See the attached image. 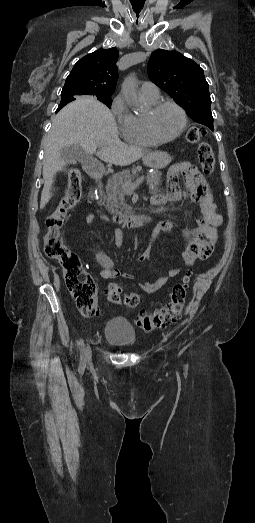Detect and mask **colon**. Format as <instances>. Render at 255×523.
<instances>
[{
	"instance_id": "5ec220e1",
	"label": "colon",
	"mask_w": 255,
	"mask_h": 523,
	"mask_svg": "<svg viewBox=\"0 0 255 523\" xmlns=\"http://www.w3.org/2000/svg\"><path fill=\"white\" fill-rule=\"evenodd\" d=\"M202 128L192 126L186 133V141L198 144V159L205 175L214 171L215 157L210 144L203 141ZM68 188L64 198L57 208L47 217L45 235V253L56 260L62 267L65 284L76 301L79 311L83 315H95L98 311L97 286L94 278L83 267L79 256L72 252L60 238V230L67 219L69 212L78 204L82 196L80 172L71 168L67 170ZM190 272L182 276L181 282L175 284L169 295L168 301L153 312L140 313L136 322L145 330L151 331L163 328L178 320L184 307ZM107 300L110 303L121 302V291L116 285H111L107 290ZM140 302L136 293H127L123 297V304L133 308Z\"/></svg>"
}]
</instances>
